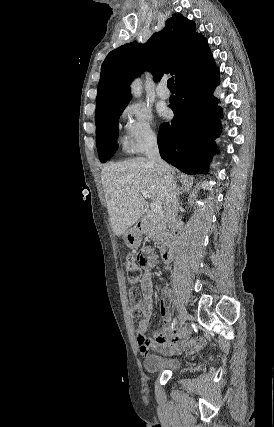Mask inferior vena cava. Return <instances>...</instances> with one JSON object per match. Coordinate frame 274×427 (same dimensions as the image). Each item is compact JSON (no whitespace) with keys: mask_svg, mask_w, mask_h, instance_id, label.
Masks as SVG:
<instances>
[{"mask_svg":"<svg viewBox=\"0 0 274 427\" xmlns=\"http://www.w3.org/2000/svg\"><path fill=\"white\" fill-rule=\"evenodd\" d=\"M146 156L152 162H155L158 166L159 172H168L169 166H167L166 162H163L160 158L157 138H148L146 142L145 148ZM165 210L167 212L168 217V225L171 227L172 231L175 229V225L177 223V215L179 212V204H178V194L176 190V186H170L167 188L165 192Z\"/></svg>","mask_w":274,"mask_h":427,"instance_id":"inferior-vena-cava-1","label":"inferior vena cava"}]
</instances>
